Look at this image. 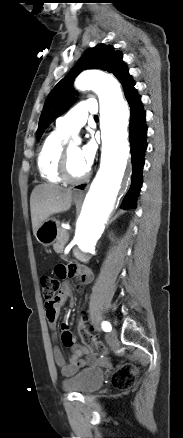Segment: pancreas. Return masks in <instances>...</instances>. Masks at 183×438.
I'll list each match as a JSON object with an SVG mask.
<instances>
[{"label": "pancreas", "instance_id": "obj_1", "mask_svg": "<svg viewBox=\"0 0 183 438\" xmlns=\"http://www.w3.org/2000/svg\"><path fill=\"white\" fill-rule=\"evenodd\" d=\"M68 240H69V233L65 229H60V233L57 238V241L53 245L54 251L58 254H61Z\"/></svg>", "mask_w": 183, "mask_h": 438}]
</instances>
